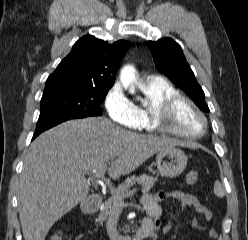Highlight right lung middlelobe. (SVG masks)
Returning <instances> with one entry per match:
<instances>
[{"label":"right lung middle lobe","instance_id":"1","mask_svg":"<svg viewBox=\"0 0 248 240\" xmlns=\"http://www.w3.org/2000/svg\"><path fill=\"white\" fill-rule=\"evenodd\" d=\"M109 89L58 88L44 91L39 120L77 119L102 115L100 105Z\"/></svg>","mask_w":248,"mask_h":240}]
</instances>
